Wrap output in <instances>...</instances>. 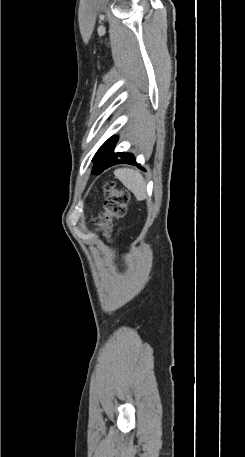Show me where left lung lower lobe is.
<instances>
[{"instance_id":"obj_1","label":"left lung lower lobe","mask_w":245,"mask_h":457,"mask_svg":"<svg viewBox=\"0 0 245 457\" xmlns=\"http://www.w3.org/2000/svg\"><path fill=\"white\" fill-rule=\"evenodd\" d=\"M117 139L118 137L116 136L111 137L97 151L93 158V174L99 175L108 167L116 164H133L143 169L139 164L136 163L135 157L132 154L113 152Z\"/></svg>"}]
</instances>
